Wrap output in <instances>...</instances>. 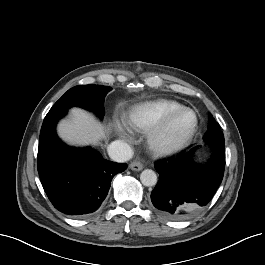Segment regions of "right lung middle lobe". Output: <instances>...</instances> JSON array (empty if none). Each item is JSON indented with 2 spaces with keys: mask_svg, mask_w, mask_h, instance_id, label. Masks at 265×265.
<instances>
[{
  "mask_svg": "<svg viewBox=\"0 0 265 265\" xmlns=\"http://www.w3.org/2000/svg\"><path fill=\"white\" fill-rule=\"evenodd\" d=\"M111 87L101 85H79L69 89L50 109V111L68 110L72 106L82 107L104 115V98Z\"/></svg>",
  "mask_w": 265,
  "mask_h": 265,
  "instance_id": "dd1d6c3e",
  "label": "right lung middle lobe"
}]
</instances>
